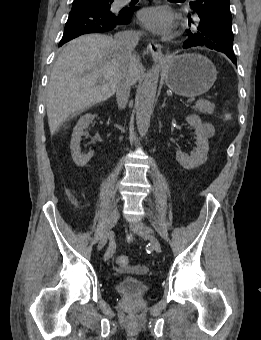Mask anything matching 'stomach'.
Returning <instances> with one entry per match:
<instances>
[{
    "instance_id": "obj_1",
    "label": "stomach",
    "mask_w": 261,
    "mask_h": 340,
    "mask_svg": "<svg viewBox=\"0 0 261 340\" xmlns=\"http://www.w3.org/2000/svg\"><path fill=\"white\" fill-rule=\"evenodd\" d=\"M163 69L166 85L183 97H195L206 93L217 77L213 63L195 53L171 57L164 63Z\"/></svg>"
}]
</instances>
